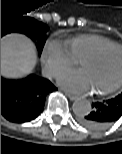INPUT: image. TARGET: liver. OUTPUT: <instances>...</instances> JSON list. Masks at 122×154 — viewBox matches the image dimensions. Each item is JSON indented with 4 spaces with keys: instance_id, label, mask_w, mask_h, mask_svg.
<instances>
[{
    "instance_id": "6515ba94",
    "label": "liver",
    "mask_w": 122,
    "mask_h": 154,
    "mask_svg": "<svg viewBox=\"0 0 122 154\" xmlns=\"http://www.w3.org/2000/svg\"><path fill=\"white\" fill-rule=\"evenodd\" d=\"M36 62V47L26 36L13 34L1 39L2 76L22 78L32 72Z\"/></svg>"
}]
</instances>
